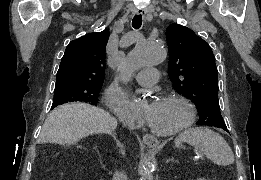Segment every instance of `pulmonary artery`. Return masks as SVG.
Listing matches in <instances>:
<instances>
[{
    "instance_id": "1",
    "label": "pulmonary artery",
    "mask_w": 261,
    "mask_h": 180,
    "mask_svg": "<svg viewBox=\"0 0 261 180\" xmlns=\"http://www.w3.org/2000/svg\"><path fill=\"white\" fill-rule=\"evenodd\" d=\"M162 62V61H161ZM159 78V71L157 69H141L134 77L138 82V89H153V84Z\"/></svg>"
}]
</instances>
